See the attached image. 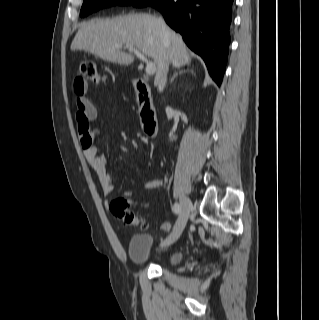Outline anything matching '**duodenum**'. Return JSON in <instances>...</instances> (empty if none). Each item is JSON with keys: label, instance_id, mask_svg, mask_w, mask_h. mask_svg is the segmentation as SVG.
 Here are the masks:
<instances>
[{"label": "duodenum", "instance_id": "obj_1", "mask_svg": "<svg viewBox=\"0 0 319 320\" xmlns=\"http://www.w3.org/2000/svg\"><path fill=\"white\" fill-rule=\"evenodd\" d=\"M134 89L138 95L140 115L145 133L154 137L157 133V122L151 105V92L148 84L139 78L133 81Z\"/></svg>", "mask_w": 319, "mask_h": 320}]
</instances>
